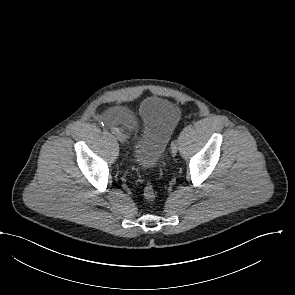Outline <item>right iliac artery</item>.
<instances>
[{"instance_id": "82829eb1", "label": "right iliac artery", "mask_w": 295, "mask_h": 295, "mask_svg": "<svg viewBox=\"0 0 295 295\" xmlns=\"http://www.w3.org/2000/svg\"><path fill=\"white\" fill-rule=\"evenodd\" d=\"M103 124V123H102ZM112 133L113 134H117V133H119V129L118 128H112Z\"/></svg>"}]
</instances>
